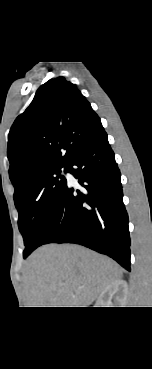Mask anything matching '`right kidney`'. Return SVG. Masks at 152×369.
<instances>
[{
  "label": "right kidney",
  "instance_id": "right-kidney-1",
  "mask_svg": "<svg viewBox=\"0 0 152 369\" xmlns=\"http://www.w3.org/2000/svg\"><path fill=\"white\" fill-rule=\"evenodd\" d=\"M128 294V285L125 280H117L107 286L100 294L97 307H125ZM114 297V302L111 298Z\"/></svg>",
  "mask_w": 152,
  "mask_h": 369
}]
</instances>
